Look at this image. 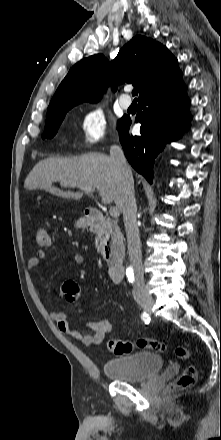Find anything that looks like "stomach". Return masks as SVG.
Masks as SVG:
<instances>
[{"instance_id":"1","label":"stomach","mask_w":221,"mask_h":440,"mask_svg":"<svg viewBox=\"0 0 221 440\" xmlns=\"http://www.w3.org/2000/svg\"><path fill=\"white\" fill-rule=\"evenodd\" d=\"M89 225V220L86 218H80L79 220H77L76 222V226L78 228H85Z\"/></svg>"}]
</instances>
